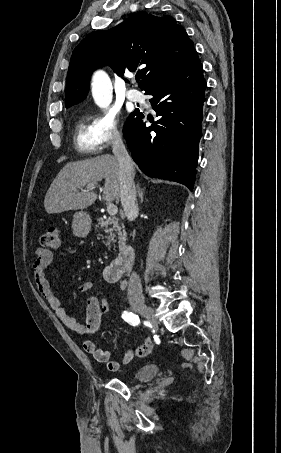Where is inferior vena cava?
<instances>
[{
  "label": "inferior vena cava",
  "instance_id": "obj_1",
  "mask_svg": "<svg viewBox=\"0 0 281 453\" xmlns=\"http://www.w3.org/2000/svg\"><path fill=\"white\" fill-rule=\"evenodd\" d=\"M113 152L119 162V182L121 202L128 220H134L138 214L136 188L133 182V160L130 158L125 144L118 132L113 140ZM128 299L130 301H143L141 279L137 273H132L128 283Z\"/></svg>",
  "mask_w": 281,
  "mask_h": 453
}]
</instances>
